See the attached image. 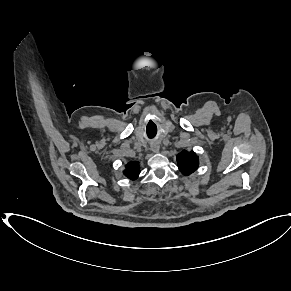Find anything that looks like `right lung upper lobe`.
Here are the masks:
<instances>
[{
  "instance_id": "obj_1",
  "label": "right lung upper lobe",
  "mask_w": 291,
  "mask_h": 291,
  "mask_svg": "<svg viewBox=\"0 0 291 291\" xmlns=\"http://www.w3.org/2000/svg\"><path fill=\"white\" fill-rule=\"evenodd\" d=\"M140 173V167L138 162H130L126 165V169L124 171L125 176L129 179H136Z\"/></svg>"
}]
</instances>
